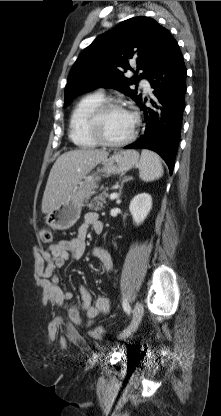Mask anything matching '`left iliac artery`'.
<instances>
[{
    "mask_svg": "<svg viewBox=\"0 0 221 416\" xmlns=\"http://www.w3.org/2000/svg\"><path fill=\"white\" fill-rule=\"evenodd\" d=\"M122 305H123L124 311H125L127 314H129V313H130V311H131V307H130V305H129V303L127 302V300H126V299H123V303H122Z\"/></svg>",
    "mask_w": 221,
    "mask_h": 416,
    "instance_id": "44dca946",
    "label": "left iliac artery"
}]
</instances>
